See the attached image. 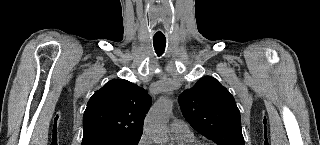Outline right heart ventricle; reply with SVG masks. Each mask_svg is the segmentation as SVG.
Returning a JSON list of instances; mask_svg holds the SVG:
<instances>
[{
    "mask_svg": "<svg viewBox=\"0 0 320 145\" xmlns=\"http://www.w3.org/2000/svg\"><path fill=\"white\" fill-rule=\"evenodd\" d=\"M174 141L178 145H190L191 143L195 142V137L193 134L189 135H172Z\"/></svg>",
    "mask_w": 320,
    "mask_h": 145,
    "instance_id": "1",
    "label": "right heart ventricle"
}]
</instances>
